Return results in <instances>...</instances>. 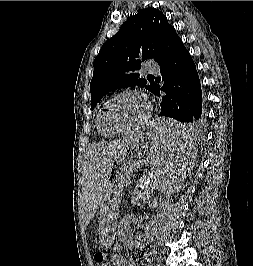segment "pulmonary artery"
I'll return each mask as SVG.
<instances>
[{
  "mask_svg": "<svg viewBox=\"0 0 253 266\" xmlns=\"http://www.w3.org/2000/svg\"><path fill=\"white\" fill-rule=\"evenodd\" d=\"M147 70H148L149 72H157L159 69H158L157 66H155V65H153V64H148V66H147Z\"/></svg>",
  "mask_w": 253,
  "mask_h": 266,
  "instance_id": "pulmonary-artery-1",
  "label": "pulmonary artery"
}]
</instances>
